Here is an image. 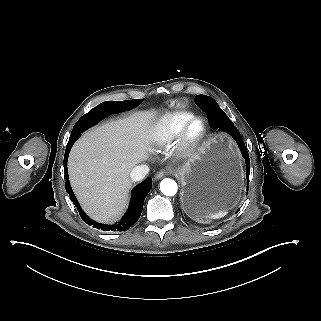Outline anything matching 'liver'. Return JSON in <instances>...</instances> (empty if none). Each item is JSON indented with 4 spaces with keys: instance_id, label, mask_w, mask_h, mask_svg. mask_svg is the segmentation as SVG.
Masks as SVG:
<instances>
[{
    "instance_id": "obj_1",
    "label": "liver",
    "mask_w": 321,
    "mask_h": 321,
    "mask_svg": "<svg viewBox=\"0 0 321 321\" xmlns=\"http://www.w3.org/2000/svg\"><path fill=\"white\" fill-rule=\"evenodd\" d=\"M157 122L155 110L136 111L85 132L72 147L69 180L94 220L112 223L124 212L133 185L130 172L149 158Z\"/></svg>"
}]
</instances>
